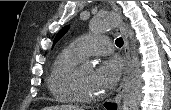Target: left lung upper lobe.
I'll list each match as a JSON object with an SVG mask.
<instances>
[{"label":"left lung upper lobe","mask_w":171,"mask_h":110,"mask_svg":"<svg viewBox=\"0 0 171 110\" xmlns=\"http://www.w3.org/2000/svg\"><path fill=\"white\" fill-rule=\"evenodd\" d=\"M68 29H69V26H65L58 32V34L56 35L54 39V44L67 32Z\"/></svg>","instance_id":"1"}]
</instances>
